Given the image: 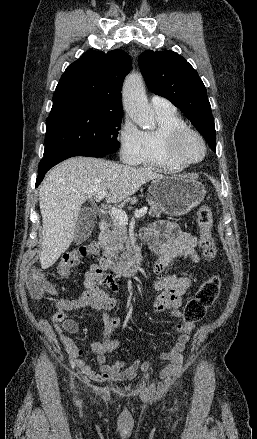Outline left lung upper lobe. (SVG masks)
<instances>
[{"label": "left lung upper lobe", "instance_id": "5c2ea615", "mask_svg": "<svg viewBox=\"0 0 257 439\" xmlns=\"http://www.w3.org/2000/svg\"><path fill=\"white\" fill-rule=\"evenodd\" d=\"M148 88L177 105L216 151L215 124L206 88L198 73L173 51L147 50L138 58Z\"/></svg>", "mask_w": 257, "mask_h": 439}]
</instances>
